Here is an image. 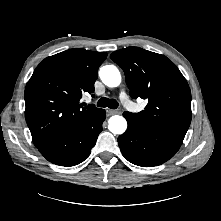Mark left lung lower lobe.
<instances>
[{
  "mask_svg": "<svg viewBox=\"0 0 221 221\" xmlns=\"http://www.w3.org/2000/svg\"><path fill=\"white\" fill-rule=\"evenodd\" d=\"M126 132L118 137V144L123 156L131 163L153 167L169 160L179 150L175 146L155 139L145 132L126 112Z\"/></svg>",
  "mask_w": 221,
  "mask_h": 221,
  "instance_id": "1",
  "label": "left lung lower lobe"
}]
</instances>
